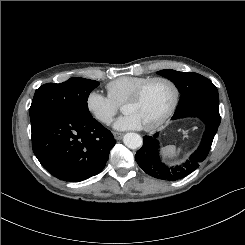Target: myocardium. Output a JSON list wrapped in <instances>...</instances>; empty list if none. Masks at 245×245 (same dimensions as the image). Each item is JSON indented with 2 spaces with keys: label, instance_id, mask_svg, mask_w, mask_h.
<instances>
[{
  "label": "myocardium",
  "instance_id": "1",
  "mask_svg": "<svg viewBox=\"0 0 245 245\" xmlns=\"http://www.w3.org/2000/svg\"><path fill=\"white\" fill-rule=\"evenodd\" d=\"M154 82H164V83L168 84L173 90V100H172V103H171L168 111L158 121H156L150 125L144 126V130H146V131H152V130H155V129L161 127L162 125H164L171 118V116L174 114V112L178 106L179 100H180V90H179V87L176 84V82H174L172 79L167 78V77H152V78L147 79L143 83H141L128 96V98L124 102V105L138 101L141 98L146 87L148 85H150L151 83H154Z\"/></svg>",
  "mask_w": 245,
  "mask_h": 245
}]
</instances>
